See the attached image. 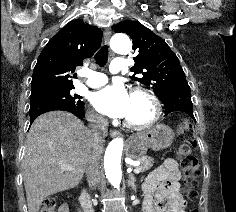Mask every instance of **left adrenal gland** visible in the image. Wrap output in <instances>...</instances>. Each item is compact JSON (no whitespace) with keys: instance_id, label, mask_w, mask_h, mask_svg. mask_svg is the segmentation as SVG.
<instances>
[{"instance_id":"left-adrenal-gland-1","label":"left adrenal gland","mask_w":236,"mask_h":212,"mask_svg":"<svg viewBox=\"0 0 236 212\" xmlns=\"http://www.w3.org/2000/svg\"><path fill=\"white\" fill-rule=\"evenodd\" d=\"M135 177H134V175L133 174H130L129 175V185L131 186V188L133 189V190H136V185H135Z\"/></svg>"}]
</instances>
